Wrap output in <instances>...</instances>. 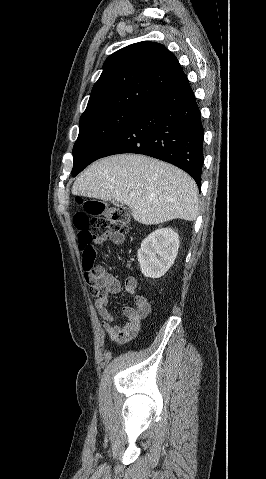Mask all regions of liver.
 I'll return each mask as SVG.
<instances>
[{"instance_id": "1", "label": "liver", "mask_w": 266, "mask_h": 479, "mask_svg": "<svg viewBox=\"0 0 266 479\" xmlns=\"http://www.w3.org/2000/svg\"><path fill=\"white\" fill-rule=\"evenodd\" d=\"M72 194L124 203L145 225L193 221L198 216L195 181L181 169L144 155L120 154L96 161L76 179Z\"/></svg>"}]
</instances>
